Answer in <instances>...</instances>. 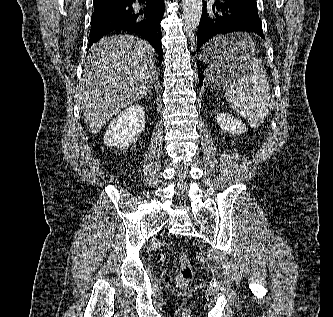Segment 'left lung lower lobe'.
<instances>
[{
    "instance_id": "0a47b994",
    "label": "left lung lower lobe",
    "mask_w": 333,
    "mask_h": 317,
    "mask_svg": "<svg viewBox=\"0 0 333 317\" xmlns=\"http://www.w3.org/2000/svg\"><path fill=\"white\" fill-rule=\"evenodd\" d=\"M242 31L254 32L264 39L256 0H215L214 3L203 1L197 32L198 51L203 44L218 34ZM203 53V59L198 61L199 86L203 83L208 65L235 55L223 43L215 44Z\"/></svg>"
}]
</instances>
